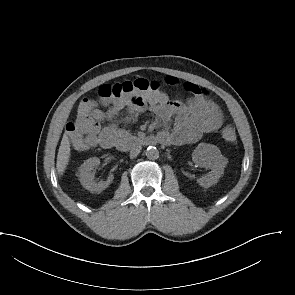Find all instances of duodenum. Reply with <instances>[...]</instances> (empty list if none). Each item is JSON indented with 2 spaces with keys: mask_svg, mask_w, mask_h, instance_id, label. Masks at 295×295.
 I'll return each mask as SVG.
<instances>
[{
  "mask_svg": "<svg viewBox=\"0 0 295 295\" xmlns=\"http://www.w3.org/2000/svg\"><path fill=\"white\" fill-rule=\"evenodd\" d=\"M154 144H169L168 140L160 137V136H142V137H133L129 135H123L118 138L114 143L113 146H120L123 148H134L137 146H151Z\"/></svg>",
  "mask_w": 295,
  "mask_h": 295,
  "instance_id": "duodenum-1",
  "label": "duodenum"
}]
</instances>
